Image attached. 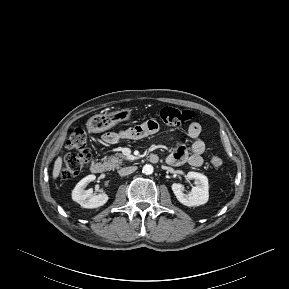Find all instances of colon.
Here are the masks:
<instances>
[{
	"label": "colon",
	"mask_w": 289,
	"mask_h": 289,
	"mask_svg": "<svg viewBox=\"0 0 289 289\" xmlns=\"http://www.w3.org/2000/svg\"><path fill=\"white\" fill-rule=\"evenodd\" d=\"M194 112L187 109L174 107H163L156 112V116L165 124L170 126H181L194 118ZM67 147L76 150L77 153H70L64 160L61 176L65 180L78 176L90 160V154L86 149V132L82 128L71 131ZM211 164L218 168L222 165V158L213 154L210 159Z\"/></svg>",
	"instance_id": "1"
}]
</instances>
